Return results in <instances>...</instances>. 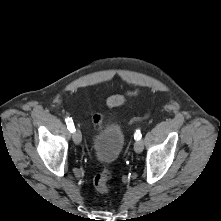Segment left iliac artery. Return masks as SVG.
I'll use <instances>...</instances> for the list:
<instances>
[{"label":"left iliac artery","instance_id":"44dca946","mask_svg":"<svg viewBox=\"0 0 221 221\" xmlns=\"http://www.w3.org/2000/svg\"><path fill=\"white\" fill-rule=\"evenodd\" d=\"M142 137L141 133H140V130H137L134 134V139L135 140H140Z\"/></svg>","mask_w":221,"mask_h":221}]
</instances>
